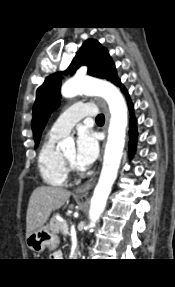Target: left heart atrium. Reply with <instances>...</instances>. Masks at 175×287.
Segmentation results:
<instances>
[{
  "label": "left heart atrium",
  "mask_w": 175,
  "mask_h": 287,
  "mask_svg": "<svg viewBox=\"0 0 175 287\" xmlns=\"http://www.w3.org/2000/svg\"><path fill=\"white\" fill-rule=\"evenodd\" d=\"M99 154V145L92 132L81 129L77 137V149L75 160L84 168L91 165Z\"/></svg>",
  "instance_id": "1"
}]
</instances>
